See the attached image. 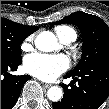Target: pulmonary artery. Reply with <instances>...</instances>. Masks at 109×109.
Segmentation results:
<instances>
[{
    "mask_svg": "<svg viewBox=\"0 0 109 109\" xmlns=\"http://www.w3.org/2000/svg\"><path fill=\"white\" fill-rule=\"evenodd\" d=\"M63 43L69 44V43H71V41L65 40V41H63Z\"/></svg>",
    "mask_w": 109,
    "mask_h": 109,
    "instance_id": "obj_1",
    "label": "pulmonary artery"
}]
</instances>
